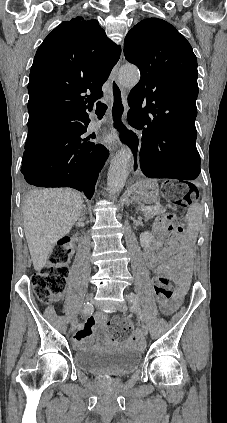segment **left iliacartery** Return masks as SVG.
<instances>
[{"label": "left iliac artery", "instance_id": "1", "mask_svg": "<svg viewBox=\"0 0 227 423\" xmlns=\"http://www.w3.org/2000/svg\"><path fill=\"white\" fill-rule=\"evenodd\" d=\"M128 300L132 303V310H134L138 314V317L140 318V320L143 321L144 320L143 314L141 312V309H140V306H139L138 297L136 296V294H134L133 292H131L128 295Z\"/></svg>", "mask_w": 227, "mask_h": 423}]
</instances>
